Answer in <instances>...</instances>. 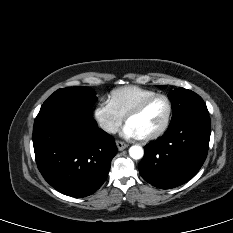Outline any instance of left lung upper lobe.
Instances as JSON below:
<instances>
[{
  "mask_svg": "<svg viewBox=\"0 0 233 233\" xmlns=\"http://www.w3.org/2000/svg\"><path fill=\"white\" fill-rule=\"evenodd\" d=\"M169 98L173 111L171 123L193 114H208L207 107L202 98L191 90L176 88L170 92Z\"/></svg>",
  "mask_w": 233,
  "mask_h": 233,
  "instance_id": "1",
  "label": "left lung upper lobe"
}]
</instances>
